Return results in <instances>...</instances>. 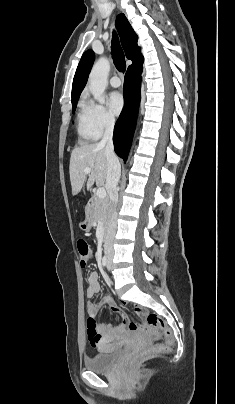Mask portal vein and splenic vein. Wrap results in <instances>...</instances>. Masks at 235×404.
Returning <instances> with one entry per match:
<instances>
[{
  "instance_id": "obj_1",
  "label": "portal vein and splenic vein",
  "mask_w": 235,
  "mask_h": 404,
  "mask_svg": "<svg viewBox=\"0 0 235 404\" xmlns=\"http://www.w3.org/2000/svg\"><path fill=\"white\" fill-rule=\"evenodd\" d=\"M85 174H90L91 168H86L84 170ZM96 196L98 198H105L106 197V190L104 188H98L96 191Z\"/></svg>"
}]
</instances>
